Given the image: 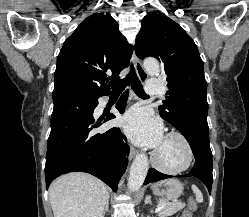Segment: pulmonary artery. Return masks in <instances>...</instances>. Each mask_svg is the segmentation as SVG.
Returning a JSON list of instances; mask_svg holds the SVG:
<instances>
[{"label":"pulmonary artery","mask_w":249,"mask_h":217,"mask_svg":"<svg viewBox=\"0 0 249 217\" xmlns=\"http://www.w3.org/2000/svg\"><path fill=\"white\" fill-rule=\"evenodd\" d=\"M146 92L148 96L156 97L161 93L160 82L158 80H149L146 83Z\"/></svg>","instance_id":"pulmonary-artery-1"}]
</instances>
